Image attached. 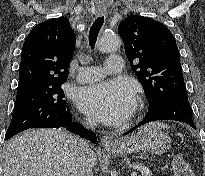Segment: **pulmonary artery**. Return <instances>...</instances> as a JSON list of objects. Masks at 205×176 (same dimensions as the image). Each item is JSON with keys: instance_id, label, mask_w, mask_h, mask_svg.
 Instances as JSON below:
<instances>
[{"instance_id": "e3ab8cb5", "label": "pulmonary artery", "mask_w": 205, "mask_h": 176, "mask_svg": "<svg viewBox=\"0 0 205 176\" xmlns=\"http://www.w3.org/2000/svg\"><path fill=\"white\" fill-rule=\"evenodd\" d=\"M122 72V59L119 55H111L107 58L104 68L99 66L80 67L77 81L88 83L101 79L106 73L119 74Z\"/></svg>"}]
</instances>
